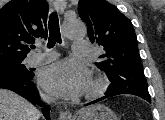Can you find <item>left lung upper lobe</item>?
<instances>
[{"mask_svg":"<svg viewBox=\"0 0 165 120\" xmlns=\"http://www.w3.org/2000/svg\"><path fill=\"white\" fill-rule=\"evenodd\" d=\"M80 18L92 43L103 47L96 66L108 76V96L133 94L151 101L131 21L105 0H79Z\"/></svg>","mask_w":165,"mask_h":120,"instance_id":"5c2ea615","label":"left lung upper lobe"}]
</instances>
